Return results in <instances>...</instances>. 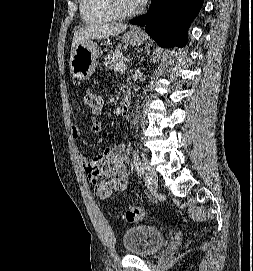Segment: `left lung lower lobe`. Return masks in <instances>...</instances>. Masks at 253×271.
<instances>
[{
	"label": "left lung lower lobe",
	"instance_id": "obj_1",
	"mask_svg": "<svg viewBox=\"0 0 253 271\" xmlns=\"http://www.w3.org/2000/svg\"><path fill=\"white\" fill-rule=\"evenodd\" d=\"M202 4L203 0H153L147 14L131 23L145 26V31L162 47H184L188 25Z\"/></svg>",
	"mask_w": 253,
	"mask_h": 271
}]
</instances>
